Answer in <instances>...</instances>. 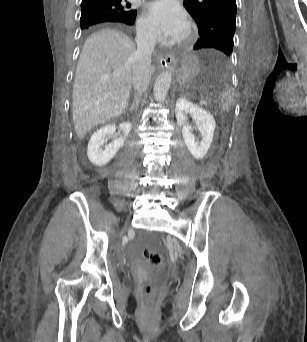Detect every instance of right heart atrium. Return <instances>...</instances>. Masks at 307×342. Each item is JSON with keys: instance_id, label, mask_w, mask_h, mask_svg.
Returning <instances> with one entry per match:
<instances>
[{"instance_id": "right-heart-atrium-1", "label": "right heart atrium", "mask_w": 307, "mask_h": 342, "mask_svg": "<svg viewBox=\"0 0 307 342\" xmlns=\"http://www.w3.org/2000/svg\"><path fill=\"white\" fill-rule=\"evenodd\" d=\"M137 33L141 36H151L152 29L146 22L140 21L137 26Z\"/></svg>"}]
</instances>
